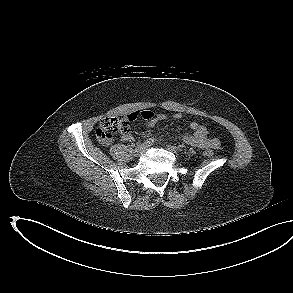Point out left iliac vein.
I'll return each mask as SVG.
<instances>
[{
  "mask_svg": "<svg viewBox=\"0 0 293 293\" xmlns=\"http://www.w3.org/2000/svg\"><path fill=\"white\" fill-rule=\"evenodd\" d=\"M167 149L173 153H177L178 152V148L176 146L173 145H168Z\"/></svg>",
  "mask_w": 293,
  "mask_h": 293,
  "instance_id": "1",
  "label": "left iliac vein"
}]
</instances>
